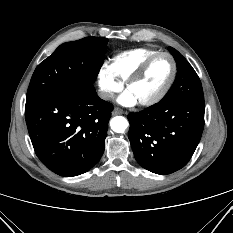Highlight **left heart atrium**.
I'll list each match as a JSON object with an SVG mask.
<instances>
[{
    "label": "left heart atrium",
    "mask_w": 233,
    "mask_h": 233,
    "mask_svg": "<svg viewBox=\"0 0 233 233\" xmlns=\"http://www.w3.org/2000/svg\"><path fill=\"white\" fill-rule=\"evenodd\" d=\"M138 102L137 98L128 89L118 98V103L123 106H134Z\"/></svg>",
    "instance_id": "1"
}]
</instances>
